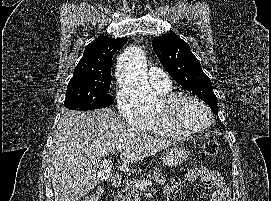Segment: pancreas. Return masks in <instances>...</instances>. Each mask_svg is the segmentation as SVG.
<instances>
[{"label":"pancreas","instance_id":"obj_1","mask_svg":"<svg viewBox=\"0 0 271 201\" xmlns=\"http://www.w3.org/2000/svg\"><path fill=\"white\" fill-rule=\"evenodd\" d=\"M146 176L147 178L153 179L160 185H165L166 183V178L162 176V173L158 169H155L154 171H149ZM136 181H144V179L141 177L138 180H128L124 189L121 190L115 201H140L141 193L139 191V188L135 186Z\"/></svg>","mask_w":271,"mask_h":201}]
</instances>
